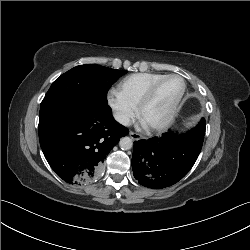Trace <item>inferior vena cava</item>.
<instances>
[{
	"instance_id": "inferior-vena-cava-1",
	"label": "inferior vena cava",
	"mask_w": 250,
	"mask_h": 250,
	"mask_svg": "<svg viewBox=\"0 0 250 250\" xmlns=\"http://www.w3.org/2000/svg\"><path fill=\"white\" fill-rule=\"evenodd\" d=\"M114 118L116 121H118L120 124L124 126L130 125V118L126 114H123L121 112H115Z\"/></svg>"
}]
</instances>
